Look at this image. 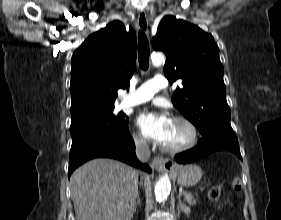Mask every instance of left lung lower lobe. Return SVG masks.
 I'll return each instance as SVG.
<instances>
[{"instance_id":"1","label":"left lung lower lobe","mask_w":281,"mask_h":220,"mask_svg":"<svg viewBox=\"0 0 281 220\" xmlns=\"http://www.w3.org/2000/svg\"><path fill=\"white\" fill-rule=\"evenodd\" d=\"M222 150L230 151L242 159L236 134L219 132L214 135H203L195 148L175 155V160L182 164L190 163Z\"/></svg>"}]
</instances>
